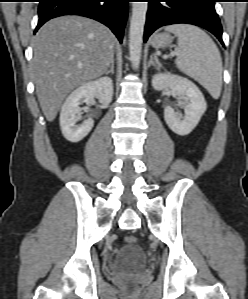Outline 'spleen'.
Masks as SVG:
<instances>
[{"mask_svg": "<svg viewBox=\"0 0 248 299\" xmlns=\"http://www.w3.org/2000/svg\"><path fill=\"white\" fill-rule=\"evenodd\" d=\"M165 30L178 37L177 67L218 99L222 89V59L214 41L202 29L190 24H174Z\"/></svg>", "mask_w": 248, "mask_h": 299, "instance_id": "3e777b00", "label": "spleen"}]
</instances>
